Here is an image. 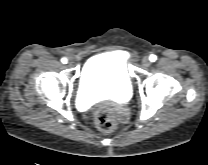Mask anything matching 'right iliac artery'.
<instances>
[{
	"label": "right iliac artery",
	"mask_w": 208,
	"mask_h": 165,
	"mask_svg": "<svg viewBox=\"0 0 208 165\" xmlns=\"http://www.w3.org/2000/svg\"><path fill=\"white\" fill-rule=\"evenodd\" d=\"M61 62H62L63 64H66V63H67V59H66V58H62V59H61Z\"/></svg>",
	"instance_id": "82829eb1"
}]
</instances>
